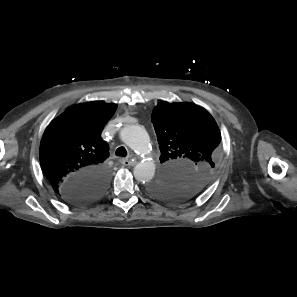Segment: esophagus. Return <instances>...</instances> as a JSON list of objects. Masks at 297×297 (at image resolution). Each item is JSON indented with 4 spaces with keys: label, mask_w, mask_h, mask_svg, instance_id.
<instances>
[{
    "label": "esophagus",
    "mask_w": 297,
    "mask_h": 297,
    "mask_svg": "<svg viewBox=\"0 0 297 297\" xmlns=\"http://www.w3.org/2000/svg\"><path fill=\"white\" fill-rule=\"evenodd\" d=\"M120 162L125 165V166H133L136 164L135 161L131 160V159H128V158H123L120 160Z\"/></svg>",
    "instance_id": "1"
}]
</instances>
